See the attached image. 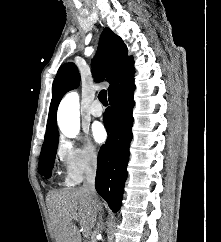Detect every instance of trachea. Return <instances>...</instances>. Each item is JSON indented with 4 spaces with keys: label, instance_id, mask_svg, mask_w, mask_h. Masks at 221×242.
<instances>
[{
    "label": "trachea",
    "instance_id": "1",
    "mask_svg": "<svg viewBox=\"0 0 221 242\" xmlns=\"http://www.w3.org/2000/svg\"><path fill=\"white\" fill-rule=\"evenodd\" d=\"M98 99L100 100V102L104 106H107L108 105V101H107V91L106 90H101L99 92Z\"/></svg>",
    "mask_w": 221,
    "mask_h": 242
}]
</instances>
